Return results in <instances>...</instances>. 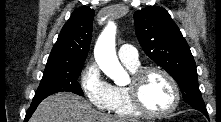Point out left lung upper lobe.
<instances>
[{
    "label": "left lung upper lobe",
    "instance_id": "obj_1",
    "mask_svg": "<svg viewBox=\"0 0 221 122\" xmlns=\"http://www.w3.org/2000/svg\"><path fill=\"white\" fill-rule=\"evenodd\" d=\"M136 35L144 52L178 83L183 99L193 108L205 107L190 48L169 13L147 7L134 13Z\"/></svg>",
    "mask_w": 221,
    "mask_h": 122
}]
</instances>
